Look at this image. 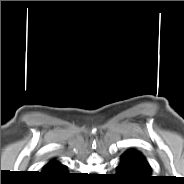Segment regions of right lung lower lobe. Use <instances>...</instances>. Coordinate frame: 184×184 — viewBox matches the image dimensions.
I'll return each mask as SVG.
<instances>
[{
	"mask_svg": "<svg viewBox=\"0 0 184 184\" xmlns=\"http://www.w3.org/2000/svg\"><path fill=\"white\" fill-rule=\"evenodd\" d=\"M43 174L54 180H60L65 178L68 175V172L64 165L53 161L44 166Z\"/></svg>",
	"mask_w": 184,
	"mask_h": 184,
	"instance_id": "1",
	"label": "right lung lower lobe"
}]
</instances>
